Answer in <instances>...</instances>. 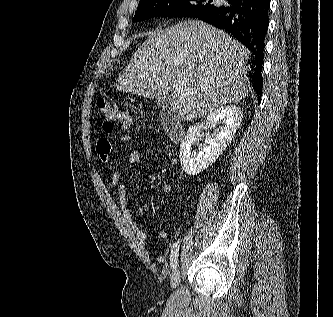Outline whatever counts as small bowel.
Masks as SVG:
<instances>
[{
  "label": "small bowel",
  "mask_w": 333,
  "mask_h": 317,
  "mask_svg": "<svg viewBox=\"0 0 333 317\" xmlns=\"http://www.w3.org/2000/svg\"><path fill=\"white\" fill-rule=\"evenodd\" d=\"M120 140L121 142L128 143L130 141V137L128 135H125L122 136ZM96 151L102 162L107 163L113 151V145L108 138L106 137L99 138L96 144ZM147 160H149V158L146 154L139 151H134L127 156L126 163L127 165L132 166L138 162L147 161ZM110 185L112 189L117 190L124 218L131 227V229L133 230L134 234L139 239L146 240L147 233L136 224V222L132 217L127 191L125 186L120 181V173L117 170H114L112 172ZM163 192L166 195H172L174 193V188L170 184H165L163 186ZM167 237L168 233L165 230H162L158 233V238L161 240H164Z\"/></svg>",
  "instance_id": "c3829d8e"
}]
</instances>
